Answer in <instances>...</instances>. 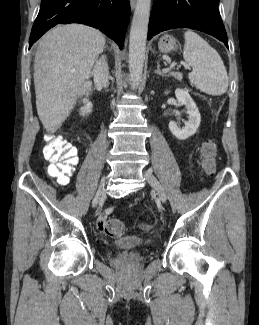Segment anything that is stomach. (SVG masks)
Segmentation results:
<instances>
[{"label": "stomach", "instance_id": "0dacf381", "mask_svg": "<svg viewBox=\"0 0 259 325\" xmlns=\"http://www.w3.org/2000/svg\"><path fill=\"white\" fill-rule=\"evenodd\" d=\"M158 48L162 53H170L177 49L176 39L171 35H163L158 41Z\"/></svg>", "mask_w": 259, "mask_h": 325}]
</instances>
